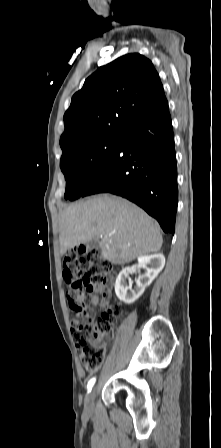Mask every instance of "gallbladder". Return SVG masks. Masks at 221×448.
<instances>
[{
    "mask_svg": "<svg viewBox=\"0 0 221 448\" xmlns=\"http://www.w3.org/2000/svg\"><path fill=\"white\" fill-rule=\"evenodd\" d=\"M86 246H87L88 249H91V248L96 247L97 244H96L95 241H90V242H88V243L86 244Z\"/></svg>",
    "mask_w": 221,
    "mask_h": 448,
    "instance_id": "1",
    "label": "gallbladder"
}]
</instances>
